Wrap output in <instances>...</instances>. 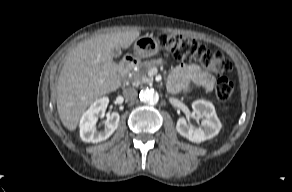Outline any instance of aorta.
I'll list each match as a JSON object with an SVG mask.
<instances>
[{"label":"aorta","mask_w":292,"mask_h":192,"mask_svg":"<svg viewBox=\"0 0 292 192\" xmlns=\"http://www.w3.org/2000/svg\"><path fill=\"white\" fill-rule=\"evenodd\" d=\"M140 101L147 105L157 104L159 100L158 93L152 88H146L139 94Z\"/></svg>","instance_id":"1"}]
</instances>
